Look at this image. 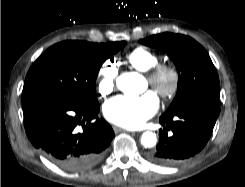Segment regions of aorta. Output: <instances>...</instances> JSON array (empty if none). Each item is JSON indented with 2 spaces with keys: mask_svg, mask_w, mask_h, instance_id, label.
Returning <instances> with one entry per match:
<instances>
[{
  "mask_svg": "<svg viewBox=\"0 0 245 187\" xmlns=\"http://www.w3.org/2000/svg\"><path fill=\"white\" fill-rule=\"evenodd\" d=\"M140 81V77L134 73H123L117 78V87L124 92L127 96L136 95L137 84ZM157 138L153 132H144L141 136V144L145 148H151L156 145Z\"/></svg>",
  "mask_w": 245,
  "mask_h": 187,
  "instance_id": "aorta-1",
  "label": "aorta"
}]
</instances>
